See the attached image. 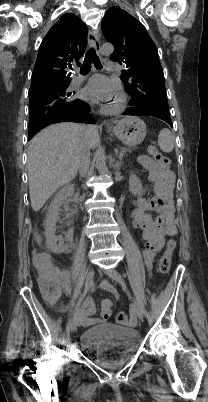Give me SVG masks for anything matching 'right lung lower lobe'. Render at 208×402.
Masks as SVG:
<instances>
[{"mask_svg": "<svg viewBox=\"0 0 208 402\" xmlns=\"http://www.w3.org/2000/svg\"><path fill=\"white\" fill-rule=\"evenodd\" d=\"M89 112L90 107L88 104L81 101L80 105L74 110L38 116L29 121V140L32 139L41 129L54 123L78 122L95 124L96 122Z\"/></svg>", "mask_w": 208, "mask_h": 402, "instance_id": "1", "label": "right lung lower lobe"}]
</instances>
